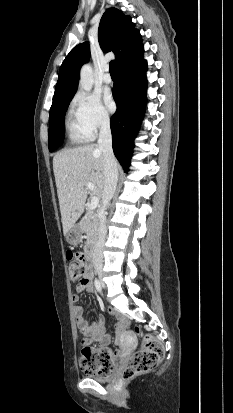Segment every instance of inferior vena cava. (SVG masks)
<instances>
[{
  "mask_svg": "<svg viewBox=\"0 0 233 413\" xmlns=\"http://www.w3.org/2000/svg\"><path fill=\"white\" fill-rule=\"evenodd\" d=\"M98 146L102 150L104 157V188L102 194L103 206L99 216V239L93 253V265L96 272L101 273L103 268V247L107 233L105 210L114 196L118 182L117 162L112 149V135L108 117L103 118L101 121Z\"/></svg>",
  "mask_w": 233,
  "mask_h": 413,
  "instance_id": "obj_1",
  "label": "inferior vena cava"
}]
</instances>
